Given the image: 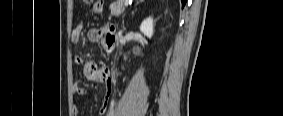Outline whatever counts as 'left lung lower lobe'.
Returning a JSON list of instances; mask_svg holds the SVG:
<instances>
[{
    "mask_svg": "<svg viewBox=\"0 0 283 116\" xmlns=\"http://www.w3.org/2000/svg\"><path fill=\"white\" fill-rule=\"evenodd\" d=\"M186 1H187V0H181V2H182V7L186 4Z\"/></svg>",
    "mask_w": 283,
    "mask_h": 116,
    "instance_id": "1",
    "label": "left lung lower lobe"
}]
</instances>
